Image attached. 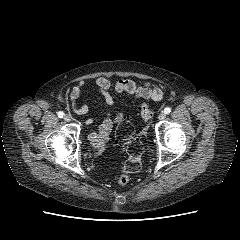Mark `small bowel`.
I'll return each instance as SVG.
<instances>
[{
	"mask_svg": "<svg viewBox=\"0 0 240 240\" xmlns=\"http://www.w3.org/2000/svg\"><path fill=\"white\" fill-rule=\"evenodd\" d=\"M83 85L84 82H80L64 93V95L69 98L72 109L79 115L86 114L89 111V107L86 103L78 105V100L83 93ZM91 89L98 91L104 97L108 105H113L115 103L112 94L113 91L117 94L127 93L135 97L156 101L162 100L164 97V90L162 87L150 83L138 85L130 79H120L115 84H112L106 77H98L94 80ZM123 118L124 116L121 113L116 115L107 114L99 127L89 134L88 141L94 148L100 147L109 139L113 126L119 123ZM87 123H91V120H88Z\"/></svg>",
	"mask_w": 240,
	"mask_h": 240,
	"instance_id": "obj_1",
	"label": "small bowel"
}]
</instances>
